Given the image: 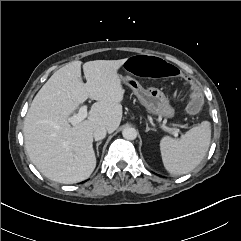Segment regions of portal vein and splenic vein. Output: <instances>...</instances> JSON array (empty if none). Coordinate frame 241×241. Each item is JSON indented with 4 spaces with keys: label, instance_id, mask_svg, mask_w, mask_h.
I'll use <instances>...</instances> for the list:
<instances>
[{
    "label": "portal vein and splenic vein",
    "instance_id": "portal-vein-and-splenic-vein-1",
    "mask_svg": "<svg viewBox=\"0 0 241 241\" xmlns=\"http://www.w3.org/2000/svg\"><path fill=\"white\" fill-rule=\"evenodd\" d=\"M87 108H88L87 105L81 106L80 109H79V112L77 114L68 118V122L71 123L73 126L82 122L88 116ZM162 127L165 130L172 131L170 128H168L166 126H162ZM173 134H174V136H178L177 131H173Z\"/></svg>",
    "mask_w": 241,
    "mask_h": 241
}]
</instances>
